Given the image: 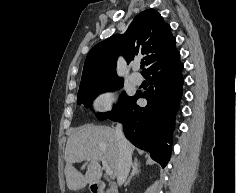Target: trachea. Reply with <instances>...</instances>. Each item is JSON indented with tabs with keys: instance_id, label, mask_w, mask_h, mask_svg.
<instances>
[{
	"instance_id": "trachea-1",
	"label": "trachea",
	"mask_w": 237,
	"mask_h": 193,
	"mask_svg": "<svg viewBox=\"0 0 237 193\" xmlns=\"http://www.w3.org/2000/svg\"><path fill=\"white\" fill-rule=\"evenodd\" d=\"M140 68H141V69H143V68H144V64H143V63L141 64Z\"/></svg>"
}]
</instances>
